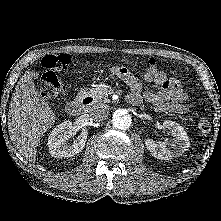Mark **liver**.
<instances>
[{"label":"liver","instance_id":"obj_1","mask_svg":"<svg viewBox=\"0 0 221 221\" xmlns=\"http://www.w3.org/2000/svg\"><path fill=\"white\" fill-rule=\"evenodd\" d=\"M56 116L35 87L30 71L18 81L8 112V131L20 154L35 162L42 136L55 123Z\"/></svg>","mask_w":221,"mask_h":221}]
</instances>
